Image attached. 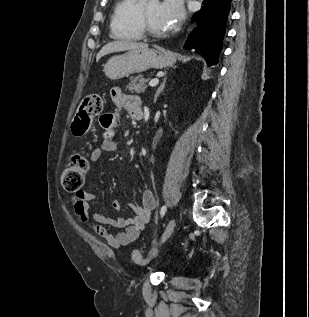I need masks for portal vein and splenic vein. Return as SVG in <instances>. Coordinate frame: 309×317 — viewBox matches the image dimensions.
Here are the masks:
<instances>
[{
  "label": "portal vein and splenic vein",
  "instance_id": "1",
  "mask_svg": "<svg viewBox=\"0 0 309 317\" xmlns=\"http://www.w3.org/2000/svg\"><path fill=\"white\" fill-rule=\"evenodd\" d=\"M158 83H159V80H158V79H152V80L149 82V86L154 87V86H156Z\"/></svg>",
  "mask_w": 309,
  "mask_h": 317
}]
</instances>
